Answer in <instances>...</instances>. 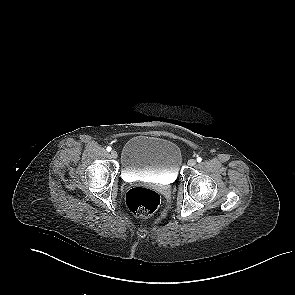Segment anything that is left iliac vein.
<instances>
[{
  "label": "left iliac vein",
  "mask_w": 295,
  "mask_h": 295,
  "mask_svg": "<svg viewBox=\"0 0 295 295\" xmlns=\"http://www.w3.org/2000/svg\"><path fill=\"white\" fill-rule=\"evenodd\" d=\"M188 165L191 166V167L195 166L196 165V160L195 159L188 160Z\"/></svg>",
  "instance_id": "obj_1"
}]
</instances>
